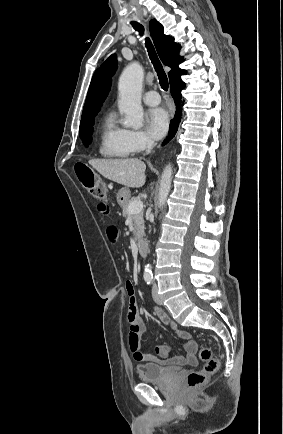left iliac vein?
<instances>
[{"mask_svg": "<svg viewBox=\"0 0 283 434\" xmlns=\"http://www.w3.org/2000/svg\"><path fill=\"white\" fill-rule=\"evenodd\" d=\"M152 297H153V300H154L157 304H159V305L162 304V301H161V299H160V297H159V295H158V287H157V284H156V283L153 284Z\"/></svg>", "mask_w": 283, "mask_h": 434, "instance_id": "1", "label": "left iliac vein"}]
</instances>
